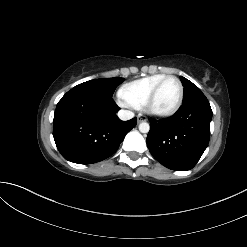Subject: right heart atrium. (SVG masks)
Masks as SVG:
<instances>
[{
	"mask_svg": "<svg viewBox=\"0 0 247 247\" xmlns=\"http://www.w3.org/2000/svg\"><path fill=\"white\" fill-rule=\"evenodd\" d=\"M120 105L124 106V107H130L131 105L122 97L119 100Z\"/></svg>",
	"mask_w": 247,
	"mask_h": 247,
	"instance_id": "1",
	"label": "right heart atrium"
}]
</instances>
